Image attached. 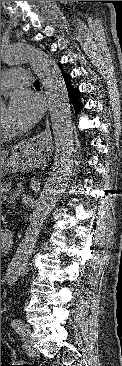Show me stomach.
I'll use <instances>...</instances> for the list:
<instances>
[{"label":"stomach","mask_w":122,"mask_h":366,"mask_svg":"<svg viewBox=\"0 0 122 366\" xmlns=\"http://www.w3.org/2000/svg\"><path fill=\"white\" fill-rule=\"evenodd\" d=\"M44 145L42 144L41 147H43ZM25 155V152L24 151H21L20 153L16 154L15 156H12L10 158V163L14 166L16 164H18V162L21 160V158ZM5 166V164H4ZM4 166L1 167V177L3 176V169H4Z\"/></svg>","instance_id":"1"}]
</instances>
